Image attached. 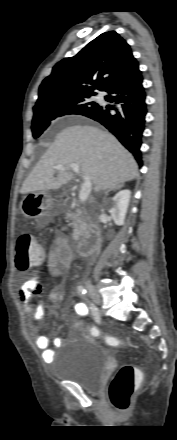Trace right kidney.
Returning a JSON list of instances; mask_svg holds the SVG:
<instances>
[{
  "label": "right kidney",
  "mask_w": 177,
  "mask_h": 440,
  "mask_svg": "<svg viewBox=\"0 0 177 440\" xmlns=\"http://www.w3.org/2000/svg\"><path fill=\"white\" fill-rule=\"evenodd\" d=\"M131 192L128 189L121 190L113 198L110 207V214L114 223L118 226L124 224Z\"/></svg>",
  "instance_id": "ca27d5eb"
}]
</instances>
